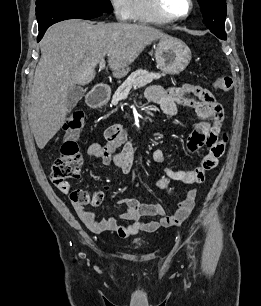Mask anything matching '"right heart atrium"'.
<instances>
[{
	"instance_id": "obj_1",
	"label": "right heart atrium",
	"mask_w": 261,
	"mask_h": 306,
	"mask_svg": "<svg viewBox=\"0 0 261 306\" xmlns=\"http://www.w3.org/2000/svg\"><path fill=\"white\" fill-rule=\"evenodd\" d=\"M115 18L119 21L130 19V2L131 0H109Z\"/></svg>"
}]
</instances>
